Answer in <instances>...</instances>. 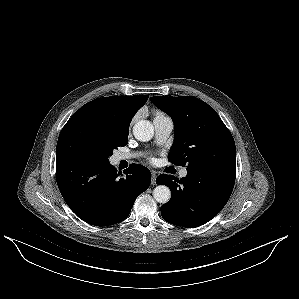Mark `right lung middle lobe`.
Returning a JSON list of instances; mask_svg holds the SVG:
<instances>
[{"instance_id":"1","label":"right lung middle lobe","mask_w":299,"mask_h":299,"mask_svg":"<svg viewBox=\"0 0 299 299\" xmlns=\"http://www.w3.org/2000/svg\"><path fill=\"white\" fill-rule=\"evenodd\" d=\"M121 134L98 120H83L75 127H63L57 142L56 157L88 163H109L113 150L127 144Z\"/></svg>"}]
</instances>
